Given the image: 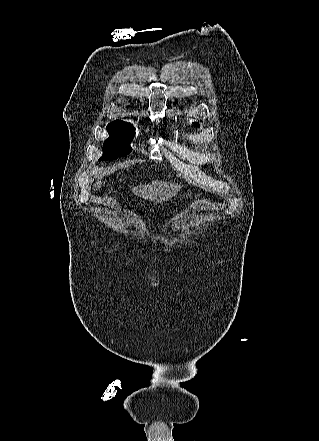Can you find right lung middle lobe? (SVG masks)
I'll return each mask as SVG.
<instances>
[{
  "label": "right lung middle lobe",
  "mask_w": 319,
  "mask_h": 441,
  "mask_svg": "<svg viewBox=\"0 0 319 441\" xmlns=\"http://www.w3.org/2000/svg\"><path fill=\"white\" fill-rule=\"evenodd\" d=\"M107 131L110 136L104 142L103 156L99 160L117 159L132 151L129 144L134 136V127L130 123L115 120L108 124Z\"/></svg>",
  "instance_id": "right-lung-middle-lobe-1"
}]
</instances>
